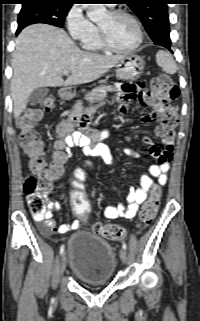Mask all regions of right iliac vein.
Returning <instances> with one entry per match:
<instances>
[{
	"mask_svg": "<svg viewBox=\"0 0 200 321\" xmlns=\"http://www.w3.org/2000/svg\"><path fill=\"white\" fill-rule=\"evenodd\" d=\"M66 268V254L63 253L60 262V273L62 274Z\"/></svg>",
	"mask_w": 200,
	"mask_h": 321,
	"instance_id": "63e3f726",
	"label": "right iliac vein"
}]
</instances>
